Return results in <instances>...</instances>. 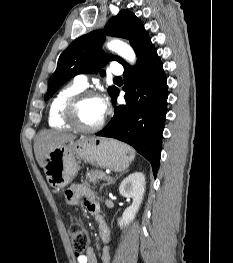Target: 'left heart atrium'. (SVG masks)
I'll list each match as a JSON object with an SVG mask.
<instances>
[{"label":"left heart atrium","instance_id":"1","mask_svg":"<svg viewBox=\"0 0 233 263\" xmlns=\"http://www.w3.org/2000/svg\"><path fill=\"white\" fill-rule=\"evenodd\" d=\"M108 102L106 98H100V107H101V113L102 116L105 114L107 110Z\"/></svg>","mask_w":233,"mask_h":263}]
</instances>
